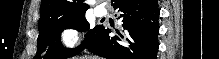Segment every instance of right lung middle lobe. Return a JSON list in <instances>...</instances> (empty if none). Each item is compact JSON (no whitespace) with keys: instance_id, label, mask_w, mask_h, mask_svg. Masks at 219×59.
<instances>
[{"instance_id":"dd1d6c3e","label":"right lung middle lobe","mask_w":219,"mask_h":59,"mask_svg":"<svg viewBox=\"0 0 219 59\" xmlns=\"http://www.w3.org/2000/svg\"><path fill=\"white\" fill-rule=\"evenodd\" d=\"M102 27L96 26L93 29H89V23L85 18V14L49 22L39 28L37 53L34 59H65L76 55L95 41ZM67 28L88 31L84 42L79 47L65 49L62 46L60 33Z\"/></svg>"}]
</instances>
